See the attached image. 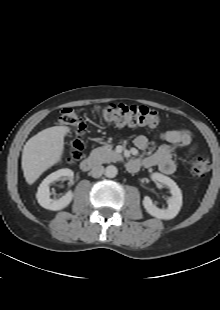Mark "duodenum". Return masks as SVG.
<instances>
[{
	"instance_id": "duodenum-1",
	"label": "duodenum",
	"mask_w": 220,
	"mask_h": 310,
	"mask_svg": "<svg viewBox=\"0 0 220 310\" xmlns=\"http://www.w3.org/2000/svg\"><path fill=\"white\" fill-rule=\"evenodd\" d=\"M96 164H97L96 159L85 158L80 162L79 166L83 172H90L96 166ZM140 166H141V162L137 159H130L127 162L128 169L133 172L137 171Z\"/></svg>"
}]
</instances>
